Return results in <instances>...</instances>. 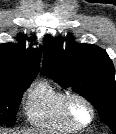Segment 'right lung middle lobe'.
I'll return each mask as SVG.
<instances>
[{
    "label": "right lung middle lobe",
    "mask_w": 116,
    "mask_h": 134,
    "mask_svg": "<svg viewBox=\"0 0 116 134\" xmlns=\"http://www.w3.org/2000/svg\"><path fill=\"white\" fill-rule=\"evenodd\" d=\"M34 77L15 88H0V124L15 123L23 91L28 88Z\"/></svg>",
    "instance_id": "right-lung-middle-lobe-1"
}]
</instances>
